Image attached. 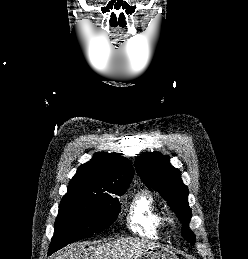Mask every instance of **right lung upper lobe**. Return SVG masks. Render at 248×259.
Wrapping results in <instances>:
<instances>
[{"instance_id": "obj_1", "label": "right lung upper lobe", "mask_w": 248, "mask_h": 259, "mask_svg": "<svg viewBox=\"0 0 248 259\" xmlns=\"http://www.w3.org/2000/svg\"><path fill=\"white\" fill-rule=\"evenodd\" d=\"M134 174L132 164L118 154L95 153L81 165L69 182L68 190L88 189L115 191L127 189Z\"/></svg>"}]
</instances>
